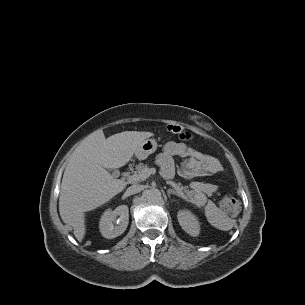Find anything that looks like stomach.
Here are the masks:
<instances>
[{"label": "stomach", "mask_w": 305, "mask_h": 305, "mask_svg": "<svg viewBox=\"0 0 305 305\" xmlns=\"http://www.w3.org/2000/svg\"><path fill=\"white\" fill-rule=\"evenodd\" d=\"M157 147L158 144L155 139H146L138 146L135 156L138 160H145L156 151Z\"/></svg>", "instance_id": "obj_1"}]
</instances>
